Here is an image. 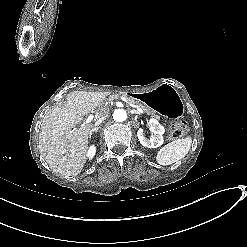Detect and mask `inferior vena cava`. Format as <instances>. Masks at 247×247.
Instances as JSON below:
<instances>
[{"label": "inferior vena cava", "mask_w": 247, "mask_h": 247, "mask_svg": "<svg viewBox=\"0 0 247 247\" xmlns=\"http://www.w3.org/2000/svg\"><path fill=\"white\" fill-rule=\"evenodd\" d=\"M106 119V116L100 117L96 122L94 128H97L104 120Z\"/></svg>", "instance_id": "obj_1"}]
</instances>
